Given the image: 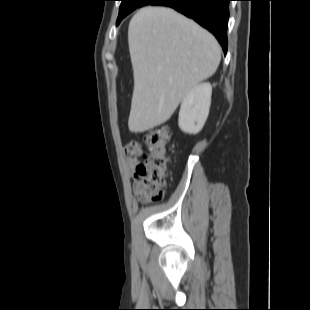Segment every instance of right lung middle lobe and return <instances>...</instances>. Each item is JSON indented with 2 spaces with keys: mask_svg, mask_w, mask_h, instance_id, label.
I'll return each instance as SVG.
<instances>
[{
  "mask_svg": "<svg viewBox=\"0 0 310 310\" xmlns=\"http://www.w3.org/2000/svg\"><path fill=\"white\" fill-rule=\"evenodd\" d=\"M122 3L119 9V16L117 19V24L126 17L130 12L135 10L136 8L145 6L153 2L154 0H121Z\"/></svg>",
  "mask_w": 310,
  "mask_h": 310,
  "instance_id": "obj_1",
  "label": "right lung middle lobe"
}]
</instances>
